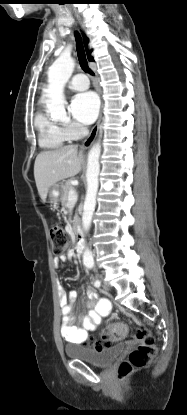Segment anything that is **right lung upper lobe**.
<instances>
[{"label":"right lung upper lobe","mask_w":187,"mask_h":415,"mask_svg":"<svg viewBox=\"0 0 187 415\" xmlns=\"http://www.w3.org/2000/svg\"><path fill=\"white\" fill-rule=\"evenodd\" d=\"M87 44H88V39L84 37V45L86 47V52H87L88 59H89V61H93V57H91V55H90L91 51H89L87 49Z\"/></svg>","instance_id":"1"}]
</instances>
